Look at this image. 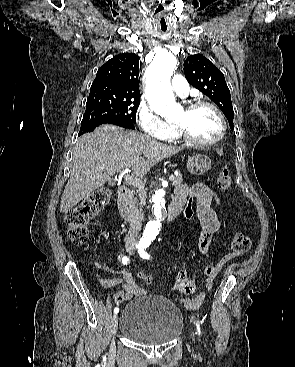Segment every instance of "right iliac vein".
I'll return each mask as SVG.
<instances>
[{"label":"right iliac vein","mask_w":295,"mask_h":367,"mask_svg":"<svg viewBox=\"0 0 295 367\" xmlns=\"http://www.w3.org/2000/svg\"><path fill=\"white\" fill-rule=\"evenodd\" d=\"M111 328H112V334L115 335L118 329V317L117 315H114L111 319ZM111 352L115 353V340L114 338L111 341Z\"/></svg>","instance_id":"63e3f726"}]
</instances>
